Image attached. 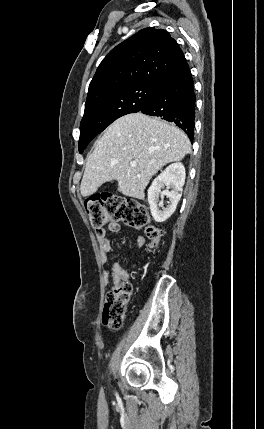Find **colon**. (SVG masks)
<instances>
[{"instance_id":"1","label":"colon","mask_w":264,"mask_h":429,"mask_svg":"<svg viewBox=\"0 0 264 429\" xmlns=\"http://www.w3.org/2000/svg\"><path fill=\"white\" fill-rule=\"evenodd\" d=\"M85 209L97 233H101L109 221H121L135 229L144 228L150 250L158 245L162 237L161 228L150 223L147 209L134 200L106 193L95 194L86 199ZM132 290V284L122 280L106 293L102 315L105 326L111 329L122 327Z\"/></svg>"}]
</instances>
